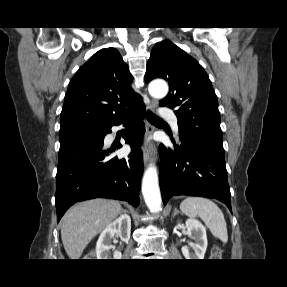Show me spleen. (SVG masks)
Listing matches in <instances>:
<instances>
[{"instance_id": "obj_1", "label": "spleen", "mask_w": 287, "mask_h": 287, "mask_svg": "<svg viewBox=\"0 0 287 287\" xmlns=\"http://www.w3.org/2000/svg\"><path fill=\"white\" fill-rule=\"evenodd\" d=\"M180 209L190 217L199 216L214 237L227 243V224L223 212L213 201L202 197H188L181 202Z\"/></svg>"}]
</instances>
